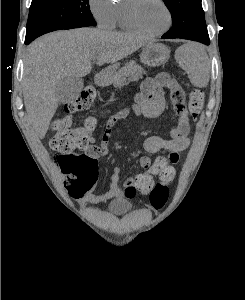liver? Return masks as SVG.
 <instances>
[{"instance_id": "6515ba94", "label": "liver", "mask_w": 245, "mask_h": 300, "mask_svg": "<svg viewBox=\"0 0 245 300\" xmlns=\"http://www.w3.org/2000/svg\"><path fill=\"white\" fill-rule=\"evenodd\" d=\"M150 42L144 37L79 28L52 32L27 48L24 61V103L38 137H45L58 108L56 86L62 78L84 77L98 65L114 64Z\"/></svg>"}]
</instances>
